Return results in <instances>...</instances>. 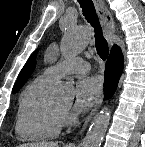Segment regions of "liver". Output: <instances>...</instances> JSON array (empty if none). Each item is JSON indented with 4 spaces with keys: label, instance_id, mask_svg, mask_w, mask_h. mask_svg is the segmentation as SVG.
Segmentation results:
<instances>
[{
    "label": "liver",
    "instance_id": "obj_1",
    "mask_svg": "<svg viewBox=\"0 0 145 147\" xmlns=\"http://www.w3.org/2000/svg\"><path fill=\"white\" fill-rule=\"evenodd\" d=\"M19 147H59L57 142L26 143Z\"/></svg>",
    "mask_w": 145,
    "mask_h": 147
}]
</instances>
